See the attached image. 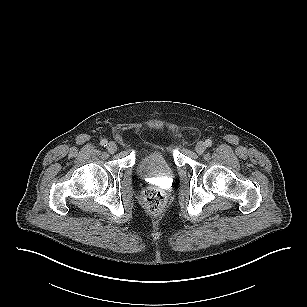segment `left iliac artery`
<instances>
[{"mask_svg":"<svg viewBox=\"0 0 307 307\" xmlns=\"http://www.w3.org/2000/svg\"><path fill=\"white\" fill-rule=\"evenodd\" d=\"M205 144H206L207 147H210V146H212V141L210 139H207L205 141Z\"/></svg>","mask_w":307,"mask_h":307,"instance_id":"44dca946","label":"left iliac artery"}]
</instances>
